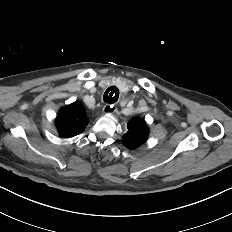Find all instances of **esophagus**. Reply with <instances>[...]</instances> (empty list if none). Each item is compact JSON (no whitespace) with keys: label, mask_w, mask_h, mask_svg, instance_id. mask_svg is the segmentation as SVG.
<instances>
[{"label":"esophagus","mask_w":232,"mask_h":232,"mask_svg":"<svg viewBox=\"0 0 232 232\" xmlns=\"http://www.w3.org/2000/svg\"><path fill=\"white\" fill-rule=\"evenodd\" d=\"M104 113L113 114L116 111L115 105L106 104L103 108Z\"/></svg>","instance_id":"esophagus-1"}]
</instances>
